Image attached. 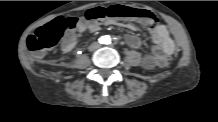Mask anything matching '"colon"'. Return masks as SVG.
Instances as JSON below:
<instances>
[{
    "instance_id": "5ec220e1",
    "label": "colon",
    "mask_w": 218,
    "mask_h": 122,
    "mask_svg": "<svg viewBox=\"0 0 218 122\" xmlns=\"http://www.w3.org/2000/svg\"><path fill=\"white\" fill-rule=\"evenodd\" d=\"M130 16L134 18H139L145 20L150 25H155L157 23V18L148 10L145 9H129L124 6L114 5L107 9H94L91 10L87 16L88 19L99 20L104 17L116 18ZM78 23L76 18H57L50 24L41 27L37 30L36 34L32 38V45L35 50L47 51L52 49L58 42L59 38L62 36L66 27L75 28ZM174 57L172 55H167L166 57H161L157 61V66L161 71H164L167 66L173 63Z\"/></svg>"
}]
</instances>
